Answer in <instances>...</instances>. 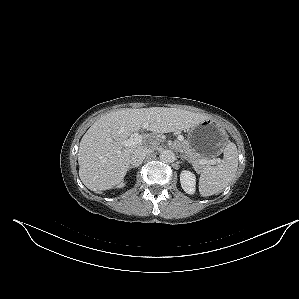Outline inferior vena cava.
Here are the masks:
<instances>
[{"instance_id": "obj_1", "label": "inferior vena cava", "mask_w": 299, "mask_h": 299, "mask_svg": "<svg viewBox=\"0 0 299 299\" xmlns=\"http://www.w3.org/2000/svg\"><path fill=\"white\" fill-rule=\"evenodd\" d=\"M152 152L151 148L141 147L136 149L130 156V163L134 167H138L145 157Z\"/></svg>"}]
</instances>
